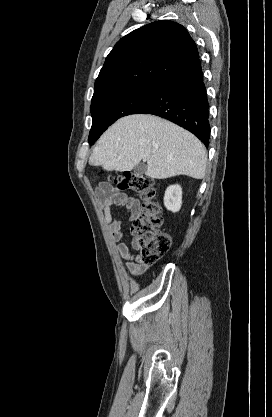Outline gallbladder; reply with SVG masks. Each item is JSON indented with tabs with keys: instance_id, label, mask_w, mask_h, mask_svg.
Instances as JSON below:
<instances>
[{
	"instance_id": "1",
	"label": "gallbladder",
	"mask_w": 272,
	"mask_h": 417,
	"mask_svg": "<svg viewBox=\"0 0 272 417\" xmlns=\"http://www.w3.org/2000/svg\"><path fill=\"white\" fill-rule=\"evenodd\" d=\"M146 164L145 163H139L133 168L134 175L141 176L146 172Z\"/></svg>"
}]
</instances>
